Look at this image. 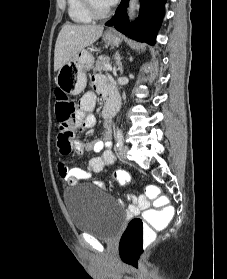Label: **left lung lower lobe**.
I'll use <instances>...</instances> for the list:
<instances>
[{"label":"left lung lower lobe","instance_id":"left-lung-lower-lobe-1","mask_svg":"<svg viewBox=\"0 0 227 279\" xmlns=\"http://www.w3.org/2000/svg\"><path fill=\"white\" fill-rule=\"evenodd\" d=\"M166 0H140V12L136 22L130 23L127 16L128 0H122L115 15L105 23L121 33L142 42L154 44L162 23Z\"/></svg>","mask_w":227,"mask_h":279}]
</instances>
